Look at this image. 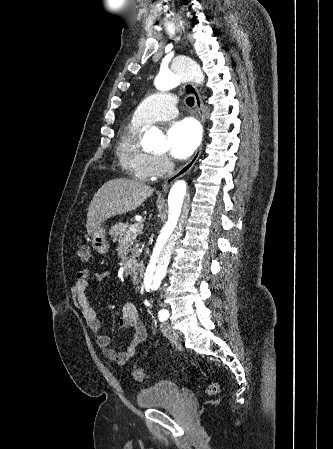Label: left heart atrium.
<instances>
[{
	"mask_svg": "<svg viewBox=\"0 0 333 449\" xmlns=\"http://www.w3.org/2000/svg\"><path fill=\"white\" fill-rule=\"evenodd\" d=\"M170 154L179 160L192 155L201 140L199 126L192 119L174 122L167 131Z\"/></svg>",
	"mask_w": 333,
	"mask_h": 449,
	"instance_id": "left-heart-atrium-1",
	"label": "left heart atrium"
}]
</instances>
